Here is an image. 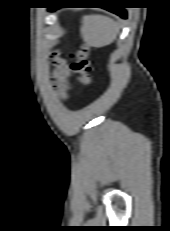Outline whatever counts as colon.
<instances>
[{"instance_id":"obj_1","label":"colon","mask_w":170,"mask_h":231,"mask_svg":"<svg viewBox=\"0 0 170 231\" xmlns=\"http://www.w3.org/2000/svg\"><path fill=\"white\" fill-rule=\"evenodd\" d=\"M88 56L89 47L87 45H81L71 54V69L78 74L79 81L85 86L91 83V65Z\"/></svg>"}]
</instances>
